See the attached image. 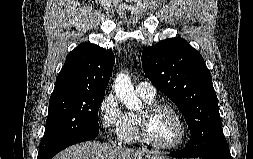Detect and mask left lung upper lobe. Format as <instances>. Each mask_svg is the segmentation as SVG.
Listing matches in <instances>:
<instances>
[{"mask_svg":"<svg viewBox=\"0 0 253 159\" xmlns=\"http://www.w3.org/2000/svg\"><path fill=\"white\" fill-rule=\"evenodd\" d=\"M142 66L149 80L183 113L190 141L205 151L222 132L212 77L201 54L182 38H170L142 52Z\"/></svg>","mask_w":253,"mask_h":159,"instance_id":"left-lung-upper-lobe-1","label":"left lung upper lobe"}]
</instances>
